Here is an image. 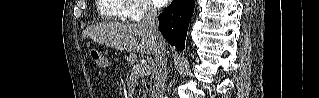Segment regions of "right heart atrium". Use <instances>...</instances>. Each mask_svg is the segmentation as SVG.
Masks as SVG:
<instances>
[{"instance_id":"1","label":"right heart atrium","mask_w":319,"mask_h":98,"mask_svg":"<svg viewBox=\"0 0 319 98\" xmlns=\"http://www.w3.org/2000/svg\"><path fill=\"white\" fill-rule=\"evenodd\" d=\"M130 9L124 18L140 20L144 17L156 15L157 9L148 0H130Z\"/></svg>"}]
</instances>
